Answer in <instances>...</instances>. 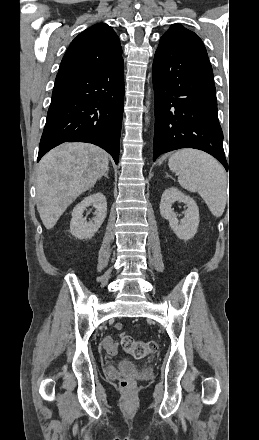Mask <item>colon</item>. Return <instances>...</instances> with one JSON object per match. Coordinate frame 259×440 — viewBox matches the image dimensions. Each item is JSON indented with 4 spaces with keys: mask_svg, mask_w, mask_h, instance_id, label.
I'll return each mask as SVG.
<instances>
[{
    "mask_svg": "<svg viewBox=\"0 0 259 440\" xmlns=\"http://www.w3.org/2000/svg\"><path fill=\"white\" fill-rule=\"evenodd\" d=\"M120 343L122 348L135 358H143L149 354L155 353L158 350V344L155 341H139L132 338L126 333L120 335ZM133 380L124 377L120 381V386L124 390H129L133 387Z\"/></svg>",
    "mask_w": 259,
    "mask_h": 440,
    "instance_id": "colon-1",
    "label": "colon"
}]
</instances>
